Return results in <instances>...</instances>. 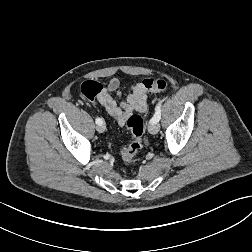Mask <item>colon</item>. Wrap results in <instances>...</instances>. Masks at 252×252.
Here are the masks:
<instances>
[{
    "instance_id": "colon-1",
    "label": "colon",
    "mask_w": 252,
    "mask_h": 252,
    "mask_svg": "<svg viewBox=\"0 0 252 252\" xmlns=\"http://www.w3.org/2000/svg\"><path fill=\"white\" fill-rule=\"evenodd\" d=\"M141 84L149 92H161L167 88V83L163 79L145 78ZM101 91L102 86L97 81L87 80L81 85V94L89 100L96 99ZM126 127L132 134V141L122 149L121 157L126 164L131 165L142 148L143 120L139 115L134 114L127 119Z\"/></svg>"
}]
</instances>
